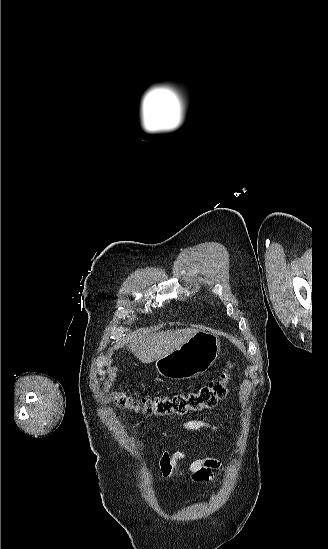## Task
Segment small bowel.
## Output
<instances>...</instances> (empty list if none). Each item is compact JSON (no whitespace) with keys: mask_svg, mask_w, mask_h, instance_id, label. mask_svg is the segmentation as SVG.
<instances>
[{"mask_svg":"<svg viewBox=\"0 0 328 549\" xmlns=\"http://www.w3.org/2000/svg\"><path fill=\"white\" fill-rule=\"evenodd\" d=\"M180 427L187 431L208 429L217 432L219 430L218 425L199 419L186 420ZM188 458L189 454L183 450L174 452L164 450L158 461L159 470L164 477L180 476L185 472H188L192 475L193 480L203 481L208 480L212 470L217 469L220 465L219 462L213 458L199 457L191 461L187 468H183L181 463Z\"/></svg>","mask_w":328,"mask_h":549,"instance_id":"1","label":"small bowel"}]
</instances>
